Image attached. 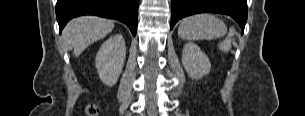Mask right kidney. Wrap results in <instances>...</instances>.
<instances>
[{
    "label": "right kidney",
    "mask_w": 305,
    "mask_h": 116,
    "mask_svg": "<svg viewBox=\"0 0 305 116\" xmlns=\"http://www.w3.org/2000/svg\"><path fill=\"white\" fill-rule=\"evenodd\" d=\"M126 58L125 41L121 34L107 39L96 55V68L100 80L107 86L116 84Z\"/></svg>",
    "instance_id": "right-kidney-1"
}]
</instances>
